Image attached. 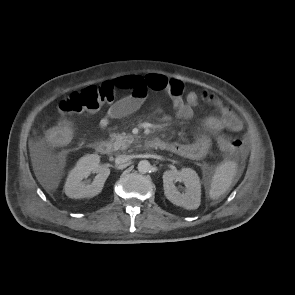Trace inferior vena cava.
Listing matches in <instances>:
<instances>
[{
  "instance_id": "602c4592",
  "label": "inferior vena cava",
  "mask_w": 295,
  "mask_h": 295,
  "mask_svg": "<svg viewBox=\"0 0 295 295\" xmlns=\"http://www.w3.org/2000/svg\"><path fill=\"white\" fill-rule=\"evenodd\" d=\"M131 159L130 155H119L115 159L116 164H123Z\"/></svg>"
}]
</instances>
